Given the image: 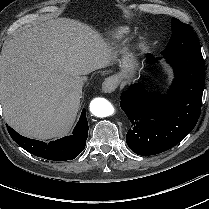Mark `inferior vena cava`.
Returning a JSON list of instances; mask_svg holds the SVG:
<instances>
[{
	"label": "inferior vena cava",
	"instance_id": "inferior-vena-cava-1",
	"mask_svg": "<svg viewBox=\"0 0 209 209\" xmlns=\"http://www.w3.org/2000/svg\"><path fill=\"white\" fill-rule=\"evenodd\" d=\"M83 85H84V81L81 78L74 82V88L78 91H81Z\"/></svg>",
	"mask_w": 209,
	"mask_h": 209
}]
</instances>
